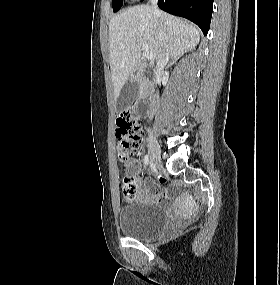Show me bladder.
<instances>
[{
    "instance_id": "1",
    "label": "bladder",
    "mask_w": 280,
    "mask_h": 285,
    "mask_svg": "<svg viewBox=\"0 0 280 285\" xmlns=\"http://www.w3.org/2000/svg\"><path fill=\"white\" fill-rule=\"evenodd\" d=\"M169 222L159 208L143 201L124 205L118 213L120 231L136 239H148L161 233Z\"/></svg>"
}]
</instances>
